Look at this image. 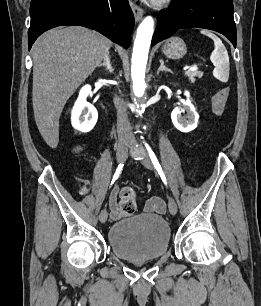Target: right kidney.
<instances>
[{
	"label": "right kidney",
	"mask_w": 261,
	"mask_h": 306,
	"mask_svg": "<svg viewBox=\"0 0 261 306\" xmlns=\"http://www.w3.org/2000/svg\"><path fill=\"white\" fill-rule=\"evenodd\" d=\"M90 93L89 85L82 87L71 113L72 126L84 133L91 131L98 120L96 108L86 100Z\"/></svg>",
	"instance_id": "right-kidney-1"
}]
</instances>
